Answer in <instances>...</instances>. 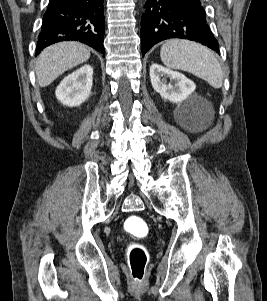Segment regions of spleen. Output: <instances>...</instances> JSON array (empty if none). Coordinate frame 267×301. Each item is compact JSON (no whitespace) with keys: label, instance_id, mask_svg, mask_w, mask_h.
<instances>
[{"label":"spleen","instance_id":"obj_1","mask_svg":"<svg viewBox=\"0 0 267 301\" xmlns=\"http://www.w3.org/2000/svg\"><path fill=\"white\" fill-rule=\"evenodd\" d=\"M160 57L167 67L192 73L215 89L223 84V71L217 58L210 49L199 43L170 39L162 45Z\"/></svg>","mask_w":267,"mask_h":301}]
</instances>
